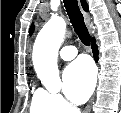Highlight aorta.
Instances as JSON below:
<instances>
[{
    "instance_id": "762f6f07",
    "label": "aorta",
    "mask_w": 121,
    "mask_h": 113,
    "mask_svg": "<svg viewBox=\"0 0 121 113\" xmlns=\"http://www.w3.org/2000/svg\"><path fill=\"white\" fill-rule=\"evenodd\" d=\"M66 31L62 17L53 16L43 26L33 46V65L42 84L51 92L61 87L57 57Z\"/></svg>"
}]
</instances>
